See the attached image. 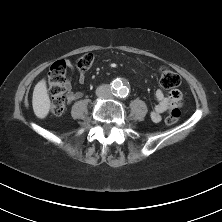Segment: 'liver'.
Returning <instances> with one entry per match:
<instances>
[{
	"label": "liver",
	"instance_id": "6515ba94",
	"mask_svg": "<svg viewBox=\"0 0 222 222\" xmlns=\"http://www.w3.org/2000/svg\"><path fill=\"white\" fill-rule=\"evenodd\" d=\"M32 106L34 114L38 118L44 119L48 115L51 101L48 95L45 79L40 80L34 87Z\"/></svg>",
	"mask_w": 222,
	"mask_h": 222
}]
</instances>
